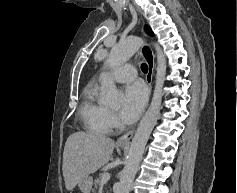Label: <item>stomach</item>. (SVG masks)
<instances>
[{"label": "stomach", "mask_w": 237, "mask_h": 193, "mask_svg": "<svg viewBox=\"0 0 237 193\" xmlns=\"http://www.w3.org/2000/svg\"><path fill=\"white\" fill-rule=\"evenodd\" d=\"M93 184V179L91 176H85L79 183L78 186L82 193H90Z\"/></svg>", "instance_id": "1"}]
</instances>
